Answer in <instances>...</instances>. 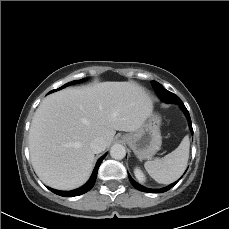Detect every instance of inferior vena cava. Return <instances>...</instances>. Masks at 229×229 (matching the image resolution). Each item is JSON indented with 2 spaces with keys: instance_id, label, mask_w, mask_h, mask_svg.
Returning <instances> with one entry per match:
<instances>
[{
  "instance_id": "obj_1",
  "label": "inferior vena cava",
  "mask_w": 229,
  "mask_h": 229,
  "mask_svg": "<svg viewBox=\"0 0 229 229\" xmlns=\"http://www.w3.org/2000/svg\"><path fill=\"white\" fill-rule=\"evenodd\" d=\"M90 147L95 154L100 153L106 148L105 141L103 138L97 137L90 143Z\"/></svg>"
}]
</instances>
